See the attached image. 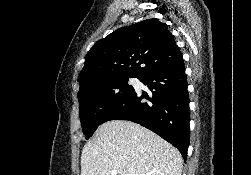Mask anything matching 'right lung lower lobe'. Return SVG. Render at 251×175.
Masks as SVG:
<instances>
[{
	"instance_id": "right-lung-lower-lobe-1",
	"label": "right lung lower lobe",
	"mask_w": 251,
	"mask_h": 175,
	"mask_svg": "<svg viewBox=\"0 0 251 175\" xmlns=\"http://www.w3.org/2000/svg\"><path fill=\"white\" fill-rule=\"evenodd\" d=\"M139 80L151 92L134 90L104 115L102 123L110 120L138 123L175 146L186 161L190 113L183 60L151 71Z\"/></svg>"
}]
</instances>
